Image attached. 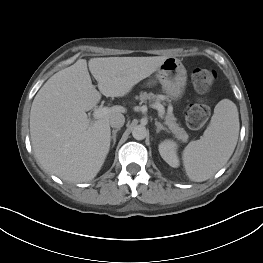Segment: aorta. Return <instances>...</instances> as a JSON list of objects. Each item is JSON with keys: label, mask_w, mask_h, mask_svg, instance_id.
Segmentation results:
<instances>
[{"label": "aorta", "mask_w": 263, "mask_h": 263, "mask_svg": "<svg viewBox=\"0 0 263 263\" xmlns=\"http://www.w3.org/2000/svg\"><path fill=\"white\" fill-rule=\"evenodd\" d=\"M132 136L136 140H143L147 136V130L144 126L138 125L133 128Z\"/></svg>", "instance_id": "aorta-1"}]
</instances>
